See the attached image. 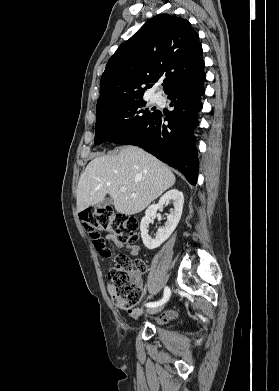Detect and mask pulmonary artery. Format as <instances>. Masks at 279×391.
Wrapping results in <instances>:
<instances>
[{
    "label": "pulmonary artery",
    "instance_id": "1",
    "mask_svg": "<svg viewBox=\"0 0 279 391\" xmlns=\"http://www.w3.org/2000/svg\"><path fill=\"white\" fill-rule=\"evenodd\" d=\"M154 101L157 102V103H160L162 101V98L159 97V96H155L154 98Z\"/></svg>",
    "mask_w": 279,
    "mask_h": 391
}]
</instances>
